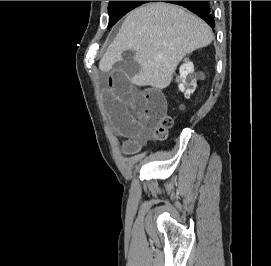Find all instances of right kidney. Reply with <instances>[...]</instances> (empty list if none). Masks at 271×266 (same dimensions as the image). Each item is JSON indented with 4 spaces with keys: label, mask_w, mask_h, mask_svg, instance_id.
Returning <instances> with one entry per match:
<instances>
[{
    "label": "right kidney",
    "mask_w": 271,
    "mask_h": 266,
    "mask_svg": "<svg viewBox=\"0 0 271 266\" xmlns=\"http://www.w3.org/2000/svg\"><path fill=\"white\" fill-rule=\"evenodd\" d=\"M193 73L194 65L192 62L188 61L180 66V80L182 83L179 85V90L184 92L187 99L190 98V94L195 91L197 86ZM190 86L192 87L189 88Z\"/></svg>",
    "instance_id": "1"
}]
</instances>
